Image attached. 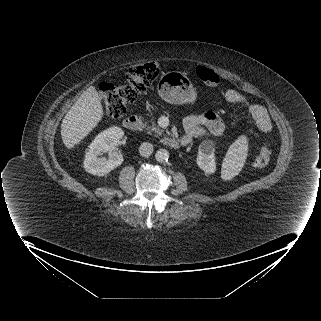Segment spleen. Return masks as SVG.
Masks as SVG:
<instances>
[{
    "instance_id": "3e777b00",
    "label": "spleen",
    "mask_w": 321,
    "mask_h": 321,
    "mask_svg": "<svg viewBox=\"0 0 321 321\" xmlns=\"http://www.w3.org/2000/svg\"><path fill=\"white\" fill-rule=\"evenodd\" d=\"M248 152V141L241 135L228 149L222 164V177L230 179L237 175L244 165Z\"/></svg>"
}]
</instances>
